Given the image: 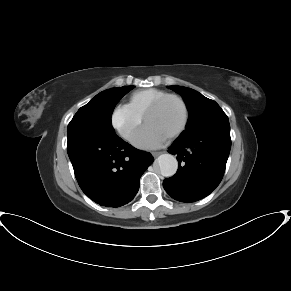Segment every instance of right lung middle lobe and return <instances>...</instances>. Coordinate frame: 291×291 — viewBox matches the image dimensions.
<instances>
[{"label":"right lung middle lobe","mask_w":291,"mask_h":291,"mask_svg":"<svg viewBox=\"0 0 291 291\" xmlns=\"http://www.w3.org/2000/svg\"><path fill=\"white\" fill-rule=\"evenodd\" d=\"M133 88L134 86L112 88L97 94L77 111L67 127V133L115 134L111 124V115L119 100Z\"/></svg>","instance_id":"dd1d6c3e"}]
</instances>
